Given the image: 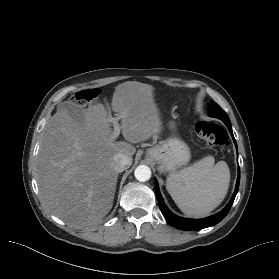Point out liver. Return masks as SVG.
Segmentation results:
<instances>
[{
    "label": "liver",
    "instance_id": "liver-1",
    "mask_svg": "<svg viewBox=\"0 0 279 279\" xmlns=\"http://www.w3.org/2000/svg\"><path fill=\"white\" fill-rule=\"evenodd\" d=\"M153 90V86L137 81L115 87L111 108L121 120L127 142L111 139L113 118L103 104L82 109L81 123L59 105L47 122L36 161V180L43 204L70 227L99 224L113 206L118 179L113 157L123 153L132 159L136 152L132 144L161 132Z\"/></svg>",
    "mask_w": 279,
    "mask_h": 279
}]
</instances>
